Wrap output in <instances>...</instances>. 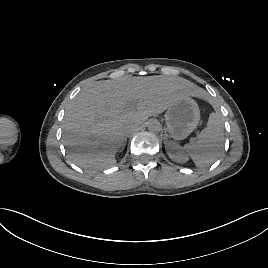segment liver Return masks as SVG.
<instances>
[{
    "instance_id": "liver-1",
    "label": "liver",
    "mask_w": 268,
    "mask_h": 268,
    "mask_svg": "<svg viewBox=\"0 0 268 268\" xmlns=\"http://www.w3.org/2000/svg\"><path fill=\"white\" fill-rule=\"evenodd\" d=\"M186 96L199 94L181 77L127 75L93 82L66 109L63 143L71 160L81 168H109L124 144L126 126L136 127ZM130 104L135 110H126Z\"/></svg>"
}]
</instances>
